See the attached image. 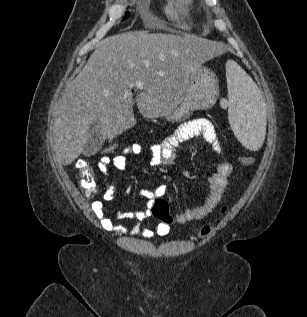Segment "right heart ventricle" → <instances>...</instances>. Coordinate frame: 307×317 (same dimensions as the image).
<instances>
[{"label":"right heart ventricle","mask_w":307,"mask_h":317,"mask_svg":"<svg viewBox=\"0 0 307 317\" xmlns=\"http://www.w3.org/2000/svg\"><path fill=\"white\" fill-rule=\"evenodd\" d=\"M165 13L169 19L185 29L195 26L193 0H168Z\"/></svg>","instance_id":"obj_1"}]
</instances>
